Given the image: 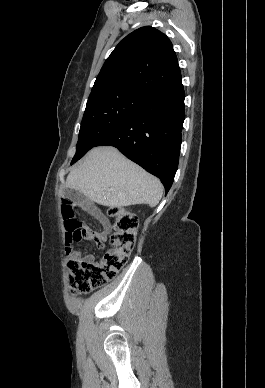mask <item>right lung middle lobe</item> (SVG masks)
<instances>
[{"label":"right lung middle lobe","instance_id":"right-lung-middle-lobe-1","mask_svg":"<svg viewBox=\"0 0 265 388\" xmlns=\"http://www.w3.org/2000/svg\"><path fill=\"white\" fill-rule=\"evenodd\" d=\"M145 97L123 91H100L90 94L81 122L76 154L71 162L82 158L96 143L126 120Z\"/></svg>","mask_w":265,"mask_h":388}]
</instances>
